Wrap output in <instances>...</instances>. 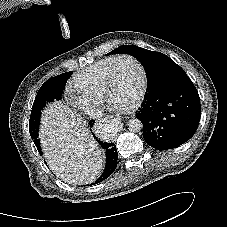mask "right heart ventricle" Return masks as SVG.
Listing matches in <instances>:
<instances>
[{
    "instance_id": "obj_1",
    "label": "right heart ventricle",
    "mask_w": 227,
    "mask_h": 227,
    "mask_svg": "<svg viewBox=\"0 0 227 227\" xmlns=\"http://www.w3.org/2000/svg\"><path fill=\"white\" fill-rule=\"evenodd\" d=\"M117 56L102 58L79 72L73 79L75 91L85 97L100 102L103 99L105 78Z\"/></svg>"
}]
</instances>
